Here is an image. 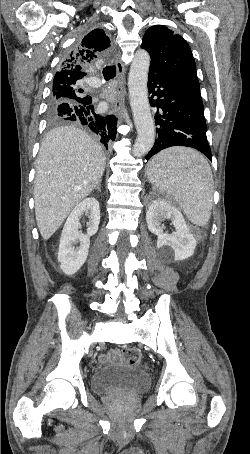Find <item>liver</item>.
Masks as SVG:
<instances>
[{
  "mask_svg": "<svg viewBox=\"0 0 250 454\" xmlns=\"http://www.w3.org/2000/svg\"><path fill=\"white\" fill-rule=\"evenodd\" d=\"M105 165L101 146L83 130L61 126L47 133L38 154L34 181L36 221L44 240L96 188Z\"/></svg>",
  "mask_w": 250,
  "mask_h": 454,
  "instance_id": "liver-1",
  "label": "liver"
}]
</instances>
